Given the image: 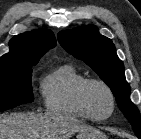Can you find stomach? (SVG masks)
<instances>
[{"mask_svg":"<svg viewBox=\"0 0 141 139\" xmlns=\"http://www.w3.org/2000/svg\"><path fill=\"white\" fill-rule=\"evenodd\" d=\"M76 139H107V137L97 129L88 128L79 131Z\"/></svg>","mask_w":141,"mask_h":139,"instance_id":"0dacf381","label":"stomach"}]
</instances>
